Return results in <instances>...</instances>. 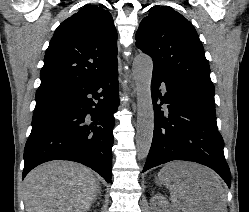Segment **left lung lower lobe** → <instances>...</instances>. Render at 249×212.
<instances>
[{
	"mask_svg": "<svg viewBox=\"0 0 249 212\" xmlns=\"http://www.w3.org/2000/svg\"><path fill=\"white\" fill-rule=\"evenodd\" d=\"M151 94L154 134L143 172L173 160L193 161L212 168L230 187L214 90L153 69Z\"/></svg>",
	"mask_w": 249,
	"mask_h": 212,
	"instance_id": "1",
	"label": "left lung lower lobe"
}]
</instances>
